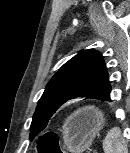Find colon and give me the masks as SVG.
Returning a JSON list of instances; mask_svg holds the SVG:
<instances>
[{
	"mask_svg": "<svg viewBox=\"0 0 130 153\" xmlns=\"http://www.w3.org/2000/svg\"><path fill=\"white\" fill-rule=\"evenodd\" d=\"M38 153H59L58 140L55 134L48 133L40 138L37 144Z\"/></svg>",
	"mask_w": 130,
	"mask_h": 153,
	"instance_id": "obj_1",
	"label": "colon"
}]
</instances>
